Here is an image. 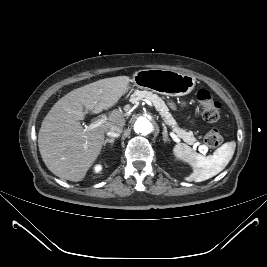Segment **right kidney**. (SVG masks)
<instances>
[{
    "mask_svg": "<svg viewBox=\"0 0 267 267\" xmlns=\"http://www.w3.org/2000/svg\"><path fill=\"white\" fill-rule=\"evenodd\" d=\"M101 169H102L101 165L95 166V172L96 173L99 172V171H101Z\"/></svg>",
    "mask_w": 267,
    "mask_h": 267,
    "instance_id": "obj_1",
    "label": "right kidney"
}]
</instances>
